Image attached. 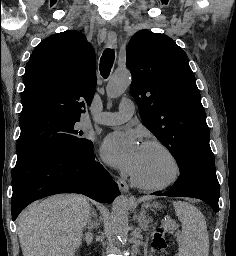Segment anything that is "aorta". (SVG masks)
I'll return each mask as SVG.
<instances>
[{"label":"aorta","mask_w":236,"mask_h":256,"mask_svg":"<svg viewBox=\"0 0 236 256\" xmlns=\"http://www.w3.org/2000/svg\"><path fill=\"white\" fill-rule=\"evenodd\" d=\"M131 84V74L128 70L116 71L110 78L106 92L109 98H117L125 92ZM128 216H129V200L126 196L117 197L112 205L111 224L115 235L119 241L124 244L128 238Z\"/></svg>","instance_id":"aorta-1"}]
</instances>
